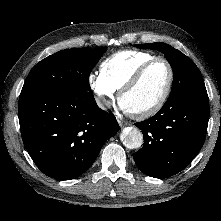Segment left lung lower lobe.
<instances>
[{
    "mask_svg": "<svg viewBox=\"0 0 221 221\" xmlns=\"http://www.w3.org/2000/svg\"><path fill=\"white\" fill-rule=\"evenodd\" d=\"M208 121L207 92L170 97L157 114L135 124L144 136L142 149L134 153L136 165L154 178L179 173L202 148Z\"/></svg>",
    "mask_w": 221,
    "mask_h": 221,
    "instance_id": "left-lung-lower-lobe-1",
    "label": "left lung lower lobe"
}]
</instances>
